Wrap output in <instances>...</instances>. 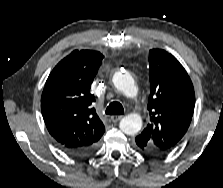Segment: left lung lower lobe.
<instances>
[{
	"label": "left lung lower lobe",
	"mask_w": 223,
	"mask_h": 188,
	"mask_svg": "<svg viewBox=\"0 0 223 188\" xmlns=\"http://www.w3.org/2000/svg\"><path fill=\"white\" fill-rule=\"evenodd\" d=\"M135 141H136V144H137V147H138L139 150H142L145 153H147L149 155H152V156H159V155H161V153H159L157 151H153V150L152 151H149V150H146L145 147H144V145H143V143L140 140L135 139Z\"/></svg>",
	"instance_id": "obj_1"
}]
</instances>
